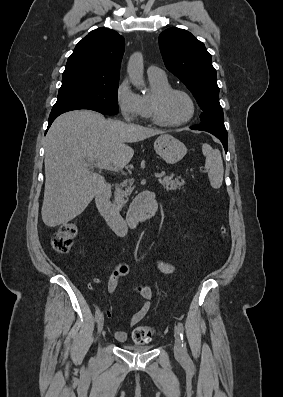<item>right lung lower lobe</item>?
<instances>
[{
    "instance_id": "obj_1",
    "label": "right lung lower lobe",
    "mask_w": 283,
    "mask_h": 397,
    "mask_svg": "<svg viewBox=\"0 0 283 397\" xmlns=\"http://www.w3.org/2000/svg\"><path fill=\"white\" fill-rule=\"evenodd\" d=\"M77 109H90V110H94V111L100 112V113H102V114H104V115H108L107 113H105V112H103V111H101V110H99V109H96V108H93V107H88V106H75V105L55 106V107L52 108V111H51V113H50L47 130H48L49 127L51 126L52 122H53L60 114H62V113H64V112H67V111H71V110H77Z\"/></svg>"
}]
</instances>
